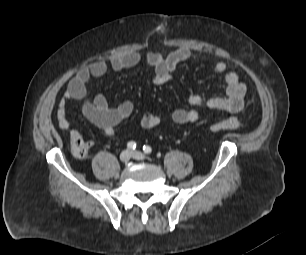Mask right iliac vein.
Masks as SVG:
<instances>
[{"label": "right iliac vein", "instance_id": "obj_1", "mask_svg": "<svg viewBox=\"0 0 306 255\" xmlns=\"http://www.w3.org/2000/svg\"><path fill=\"white\" fill-rule=\"evenodd\" d=\"M130 158H131V153H130V151L124 150V151L121 152V154H120V160H121V162L127 163V162L130 160Z\"/></svg>", "mask_w": 306, "mask_h": 255}]
</instances>
